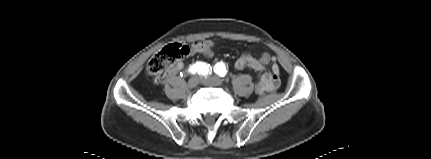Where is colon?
<instances>
[{
    "label": "colon",
    "instance_id": "colon-1",
    "mask_svg": "<svg viewBox=\"0 0 431 159\" xmlns=\"http://www.w3.org/2000/svg\"><path fill=\"white\" fill-rule=\"evenodd\" d=\"M214 52V49L206 46H196L194 49L177 43L167 45L151 57L146 68L147 75L152 81L159 82L174 64L186 58L189 54L202 55L201 61L208 63L210 61L209 54L212 55ZM259 88V82L255 81L252 84L254 96L258 95Z\"/></svg>",
    "mask_w": 431,
    "mask_h": 159
}]
</instances>
